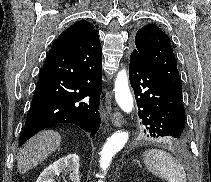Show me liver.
<instances>
[{"label": "liver", "instance_id": "6515ba94", "mask_svg": "<svg viewBox=\"0 0 211 182\" xmlns=\"http://www.w3.org/2000/svg\"><path fill=\"white\" fill-rule=\"evenodd\" d=\"M61 143V136L53 130H45L32 137L19 151L17 167L26 173L50 156Z\"/></svg>", "mask_w": 211, "mask_h": 182}]
</instances>
